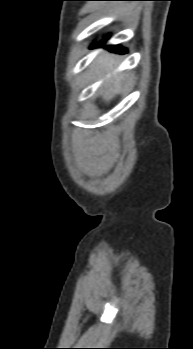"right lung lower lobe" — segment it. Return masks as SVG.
<instances>
[{
	"label": "right lung lower lobe",
	"mask_w": 193,
	"mask_h": 349,
	"mask_svg": "<svg viewBox=\"0 0 193 349\" xmlns=\"http://www.w3.org/2000/svg\"><path fill=\"white\" fill-rule=\"evenodd\" d=\"M104 38L108 39V36H105ZM104 43H105V40H102V41L98 42L97 44H93L92 47L101 46ZM109 50L112 52H116V53H125L126 52V50L121 46H109Z\"/></svg>",
	"instance_id": "right-lung-lower-lobe-1"
}]
</instances>
